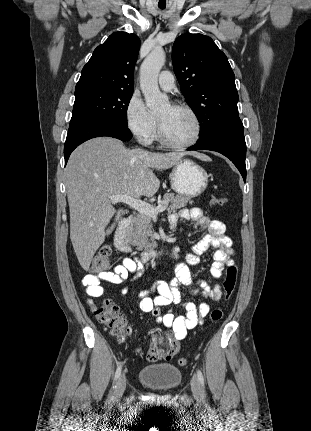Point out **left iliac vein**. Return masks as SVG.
Listing matches in <instances>:
<instances>
[{
	"label": "left iliac vein",
	"mask_w": 311,
	"mask_h": 431,
	"mask_svg": "<svg viewBox=\"0 0 311 431\" xmlns=\"http://www.w3.org/2000/svg\"><path fill=\"white\" fill-rule=\"evenodd\" d=\"M191 389H192V393H193L194 397L196 399H200L202 393H201L200 382H199L198 376H196V375H194L192 377V380H191Z\"/></svg>",
	"instance_id": "obj_1"
}]
</instances>
